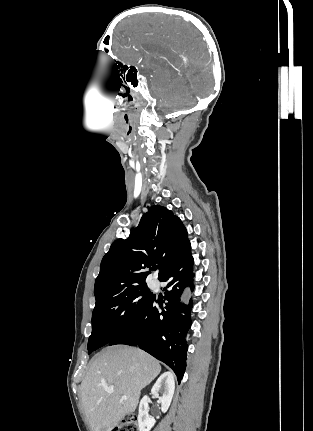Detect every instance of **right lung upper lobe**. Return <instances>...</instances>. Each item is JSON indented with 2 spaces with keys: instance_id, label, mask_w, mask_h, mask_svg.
<instances>
[{
  "instance_id": "right-lung-upper-lobe-1",
  "label": "right lung upper lobe",
  "mask_w": 313,
  "mask_h": 431,
  "mask_svg": "<svg viewBox=\"0 0 313 431\" xmlns=\"http://www.w3.org/2000/svg\"><path fill=\"white\" fill-rule=\"evenodd\" d=\"M189 240L181 220L162 206H152L126 239H117L103 257L95 280L96 302L131 287L146 285L156 264L162 279Z\"/></svg>"
}]
</instances>
